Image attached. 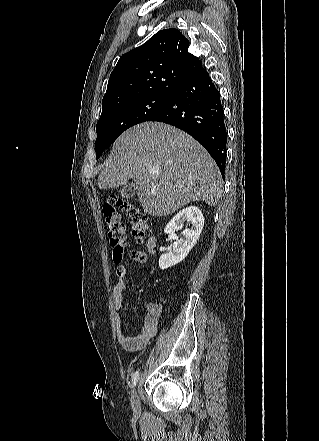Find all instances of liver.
Here are the masks:
<instances>
[{"instance_id":"1","label":"liver","mask_w":319,"mask_h":441,"mask_svg":"<svg viewBox=\"0 0 319 441\" xmlns=\"http://www.w3.org/2000/svg\"><path fill=\"white\" fill-rule=\"evenodd\" d=\"M129 179L151 216L169 215L194 201L215 206L222 192L220 171L207 151L187 133L160 122L138 124L115 141L98 187L118 188Z\"/></svg>"}]
</instances>
